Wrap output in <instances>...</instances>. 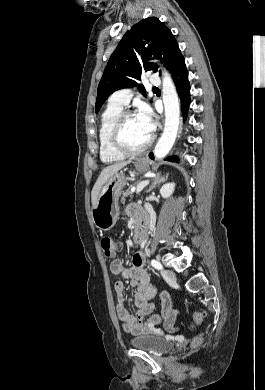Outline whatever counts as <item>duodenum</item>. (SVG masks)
Instances as JSON below:
<instances>
[{"instance_id": "duodenum-1", "label": "duodenum", "mask_w": 265, "mask_h": 390, "mask_svg": "<svg viewBox=\"0 0 265 390\" xmlns=\"http://www.w3.org/2000/svg\"><path fill=\"white\" fill-rule=\"evenodd\" d=\"M147 220L141 218L136 219L135 228H134V237L137 242L142 243L147 235L146 231Z\"/></svg>"}]
</instances>
